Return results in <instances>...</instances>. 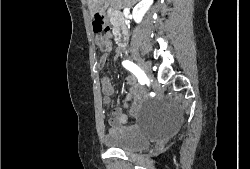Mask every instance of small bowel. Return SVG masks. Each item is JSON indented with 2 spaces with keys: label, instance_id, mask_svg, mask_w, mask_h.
<instances>
[{
  "label": "small bowel",
  "instance_id": "1",
  "mask_svg": "<svg viewBox=\"0 0 250 169\" xmlns=\"http://www.w3.org/2000/svg\"><path fill=\"white\" fill-rule=\"evenodd\" d=\"M95 42L98 48L103 52V56L99 61V66H103L111 50V42L105 35L96 36ZM126 83L129 85L130 89L124 98V103L132 102L133 107L140 106L144 97V91L138 84L136 77L133 75L127 76ZM102 89L104 93V103L109 105L111 103V97L114 94V86L110 78L104 77L102 79ZM110 130L113 134H130L134 131V125L127 122V117L123 108L115 107L112 109Z\"/></svg>",
  "mask_w": 250,
  "mask_h": 169
}]
</instances>
